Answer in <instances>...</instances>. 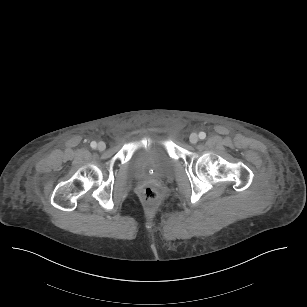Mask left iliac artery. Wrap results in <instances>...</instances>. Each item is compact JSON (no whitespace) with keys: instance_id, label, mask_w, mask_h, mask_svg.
Here are the masks:
<instances>
[{"instance_id":"obj_1","label":"left iliac artery","mask_w":307,"mask_h":307,"mask_svg":"<svg viewBox=\"0 0 307 307\" xmlns=\"http://www.w3.org/2000/svg\"><path fill=\"white\" fill-rule=\"evenodd\" d=\"M199 138L200 139H205L206 138V133L205 132H200L199 133Z\"/></svg>"}]
</instances>
